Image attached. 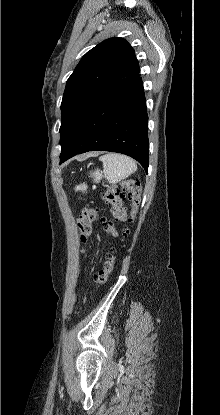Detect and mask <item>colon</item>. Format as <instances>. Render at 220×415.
<instances>
[{
	"label": "colon",
	"instance_id": "obj_1",
	"mask_svg": "<svg viewBox=\"0 0 220 415\" xmlns=\"http://www.w3.org/2000/svg\"><path fill=\"white\" fill-rule=\"evenodd\" d=\"M141 183L138 179L127 180L121 183L119 186L109 187L104 193V201L110 206V212L112 220H106L100 217L98 210L95 207L85 206L81 210V214L77 220V228L79 230L80 239L82 242H86L92 232V226L94 222H99L105 232L112 236H116V224L127 223L131 225L133 222L134 214L138 208L141 199ZM128 191L131 195V215L128 216L127 210L123 204L124 193ZM130 229L127 227L125 235H128ZM116 262V256L114 251H110L107 255V260L104 263L103 268L94 277V283L96 285L104 284L110 274L113 272Z\"/></svg>",
	"mask_w": 220,
	"mask_h": 415
}]
</instances>
